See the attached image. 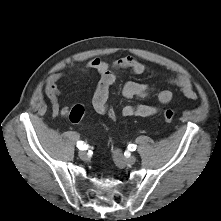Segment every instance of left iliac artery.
<instances>
[{
  "label": "left iliac artery",
  "mask_w": 221,
  "mask_h": 221,
  "mask_svg": "<svg viewBox=\"0 0 221 221\" xmlns=\"http://www.w3.org/2000/svg\"><path fill=\"white\" fill-rule=\"evenodd\" d=\"M128 149H129L130 151H135V150H136V145L130 144V145L128 146Z\"/></svg>",
  "instance_id": "44dca946"
}]
</instances>
